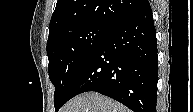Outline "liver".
<instances>
[{
  "label": "liver",
  "mask_w": 193,
  "mask_h": 112,
  "mask_svg": "<svg viewBox=\"0 0 193 112\" xmlns=\"http://www.w3.org/2000/svg\"><path fill=\"white\" fill-rule=\"evenodd\" d=\"M61 112H130V110L99 93L87 92L68 101Z\"/></svg>",
  "instance_id": "1"
}]
</instances>
